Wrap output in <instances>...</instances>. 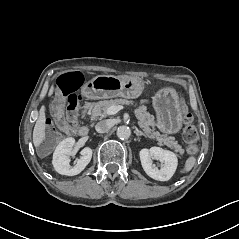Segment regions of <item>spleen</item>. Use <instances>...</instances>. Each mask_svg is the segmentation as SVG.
I'll use <instances>...</instances> for the list:
<instances>
[{
	"label": "spleen",
	"instance_id": "obj_1",
	"mask_svg": "<svg viewBox=\"0 0 239 239\" xmlns=\"http://www.w3.org/2000/svg\"><path fill=\"white\" fill-rule=\"evenodd\" d=\"M196 159L194 157H189L185 163L184 172H188L195 165Z\"/></svg>",
	"mask_w": 239,
	"mask_h": 239
}]
</instances>
